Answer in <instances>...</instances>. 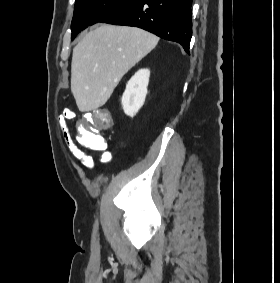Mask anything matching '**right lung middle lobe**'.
Instances as JSON below:
<instances>
[{
	"instance_id": "right-lung-middle-lobe-1",
	"label": "right lung middle lobe",
	"mask_w": 280,
	"mask_h": 283,
	"mask_svg": "<svg viewBox=\"0 0 280 283\" xmlns=\"http://www.w3.org/2000/svg\"><path fill=\"white\" fill-rule=\"evenodd\" d=\"M131 1L133 0H76L71 24V39L73 40L83 29L101 22Z\"/></svg>"
}]
</instances>
